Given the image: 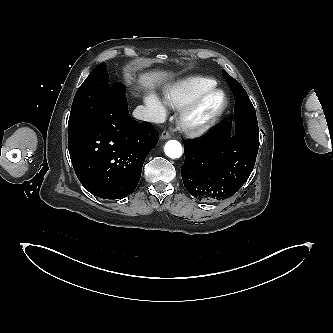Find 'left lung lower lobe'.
Here are the masks:
<instances>
[{
	"label": "left lung lower lobe",
	"mask_w": 333,
	"mask_h": 333,
	"mask_svg": "<svg viewBox=\"0 0 333 333\" xmlns=\"http://www.w3.org/2000/svg\"><path fill=\"white\" fill-rule=\"evenodd\" d=\"M257 135L236 125L235 134L222 122L202 137L184 141L181 175L185 188L200 200H224L250 176L257 152Z\"/></svg>",
	"instance_id": "left-lung-lower-lobe-1"
}]
</instances>
